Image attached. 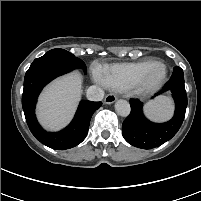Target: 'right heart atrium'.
Masks as SVG:
<instances>
[{
	"mask_svg": "<svg viewBox=\"0 0 201 201\" xmlns=\"http://www.w3.org/2000/svg\"><path fill=\"white\" fill-rule=\"evenodd\" d=\"M95 79L97 82H99L102 85H105L102 74L99 70H95Z\"/></svg>",
	"mask_w": 201,
	"mask_h": 201,
	"instance_id": "1",
	"label": "right heart atrium"
}]
</instances>
